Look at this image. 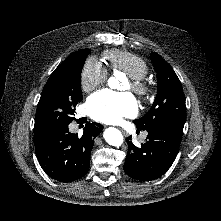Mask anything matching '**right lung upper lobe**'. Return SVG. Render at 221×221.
Here are the masks:
<instances>
[{
  "mask_svg": "<svg viewBox=\"0 0 221 221\" xmlns=\"http://www.w3.org/2000/svg\"><path fill=\"white\" fill-rule=\"evenodd\" d=\"M75 54H76V52L73 53L72 55H70L67 59H65L59 66H62V65H64V64H66L72 57L75 56Z\"/></svg>",
  "mask_w": 221,
  "mask_h": 221,
  "instance_id": "right-lung-upper-lobe-1",
  "label": "right lung upper lobe"
}]
</instances>
